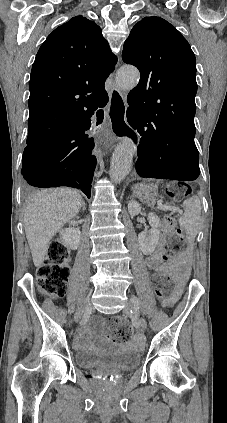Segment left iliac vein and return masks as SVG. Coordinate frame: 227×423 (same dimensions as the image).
Instances as JSON below:
<instances>
[{
	"label": "left iliac vein",
	"instance_id": "4c4485c4",
	"mask_svg": "<svg viewBox=\"0 0 227 423\" xmlns=\"http://www.w3.org/2000/svg\"><path fill=\"white\" fill-rule=\"evenodd\" d=\"M137 304L127 303L123 309V313L132 317L133 320L138 324L139 328L144 331L147 328L146 320L135 310Z\"/></svg>",
	"mask_w": 227,
	"mask_h": 423
}]
</instances>
